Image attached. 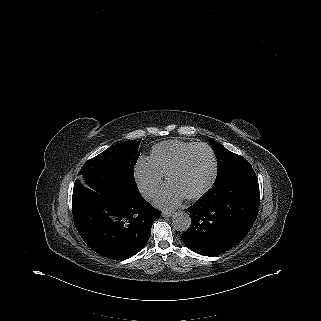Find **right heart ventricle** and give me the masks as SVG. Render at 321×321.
<instances>
[{
	"label": "right heart ventricle",
	"instance_id": "right-heart-ventricle-1",
	"mask_svg": "<svg viewBox=\"0 0 321 321\" xmlns=\"http://www.w3.org/2000/svg\"><path fill=\"white\" fill-rule=\"evenodd\" d=\"M196 145L177 139L163 141L152 147L148 159L153 169L163 177Z\"/></svg>",
	"mask_w": 321,
	"mask_h": 321
}]
</instances>
